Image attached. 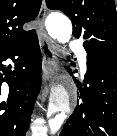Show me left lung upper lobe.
I'll use <instances>...</instances> for the list:
<instances>
[{
    "instance_id": "obj_1",
    "label": "left lung upper lobe",
    "mask_w": 117,
    "mask_h": 136,
    "mask_svg": "<svg viewBox=\"0 0 117 136\" xmlns=\"http://www.w3.org/2000/svg\"><path fill=\"white\" fill-rule=\"evenodd\" d=\"M73 23V36L85 39L87 56L117 59V12L114 0H46Z\"/></svg>"
}]
</instances>
